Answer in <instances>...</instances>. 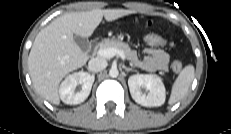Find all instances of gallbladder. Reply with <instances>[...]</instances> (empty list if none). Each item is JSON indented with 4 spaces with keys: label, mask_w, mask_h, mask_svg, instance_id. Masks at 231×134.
I'll return each mask as SVG.
<instances>
[{
    "label": "gallbladder",
    "mask_w": 231,
    "mask_h": 134,
    "mask_svg": "<svg viewBox=\"0 0 231 134\" xmlns=\"http://www.w3.org/2000/svg\"><path fill=\"white\" fill-rule=\"evenodd\" d=\"M75 43L80 47L81 50L86 51L89 48V41L81 36L74 35Z\"/></svg>",
    "instance_id": "gallbladder-1"
}]
</instances>
